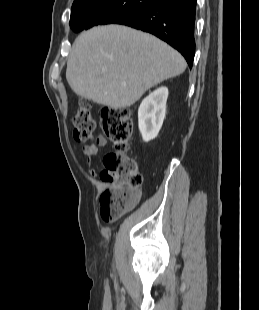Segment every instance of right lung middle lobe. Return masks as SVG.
I'll use <instances>...</instances> for the list:
<instances>
[{
	"instance_id": "right-lung-middle-lobe-1",
	"label": "right lung middle lobe",
	"mask_w": 259,
	"mask_h": 310,
	"mask_svg": "<svg viewBox=\"0 0 259 310\" xmlns=\"http://www.w3.org/2000/svg\"><path fill=\"white\" fill-rule=\"evenodd\" d=\"M155 0H102L71 10L70 27L74 32L96 25L111 24L149 6Z\"/></svg>"
}]
</instances>
